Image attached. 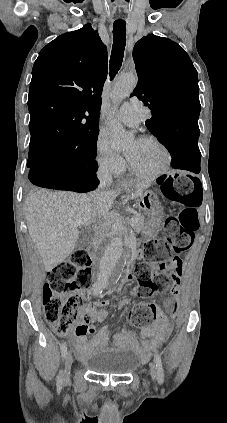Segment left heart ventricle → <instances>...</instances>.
<instances>
[{
  "mask_svg": "<svg viewBox=\"0 0 227 423\" xmlns=\"http://www.w3.org/2000/svg\"><path fill=\"white\" fill-rule=\"evenodd\" d=\"M126 154L134 167L144 173L156 171L164 162L162 149L154 143L134 141L127 148Z\"/></svg>",
  "mask_w": 227,
  "mask_h": 423,
  "instance_id": "left-heart-ventricle-1",
  "label": "left heart ventricle"
}]
</instances>
